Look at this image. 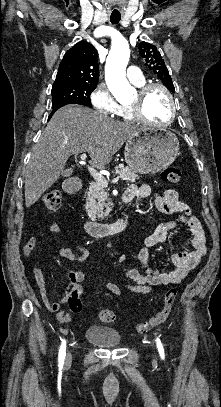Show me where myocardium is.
I'll use <instances>...</instances> for the list:
<instances>
[{
  "label": "myocardium",
  "instance_id": "obj_1",
  "mask_svg": "<svg viewBox=\"0 0 221 407\" xmlns=\"http://www.w3.org/2000/svg\"><path fill=\"white\" fill-rule=\"evenodd\" d=\"M153 89L162 90L169 100L170 116L166 122H163V123L153 122V121L149 120L144 114L143 105H144L145 99H146L147 95L149 94V92ZM129 109H130L132 116L137 121H140L147 125H153V126H158V127H167V126L171 125L173 123V121L175 120L176 112H177L176 102L174 100L172 93L165 85H163L161 83H149V84H144L143 86H141L138 89L136 100L132 104L129 105Z\"/></svg>",
  "mask_w": 221,
  "mask_h": 407
}]
</instances>
